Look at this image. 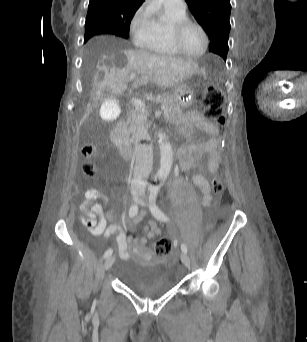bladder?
Segmentation results:
<instances>
[{
  "instance_id": "1",
  "label": "bladder",
  "mask_w": 307,
  "mask_h": 342,
  "mask_svg": "<svg viewBox=\"0 0 307 342\" xmlns=\"http://www.w3.org/2000/svg\"><path fill=\"white\" fill-rule=\"evenodd\" d=\"M120 280L131 291L147 297L161 296L174 289L178 283L171 270L136 260L124 263Z\"/></svg>"
}]
</instances>
